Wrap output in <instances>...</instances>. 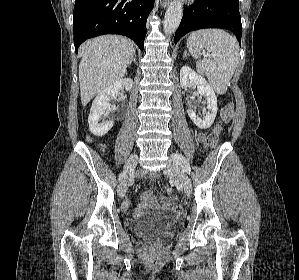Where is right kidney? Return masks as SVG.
I'll return each mask as SVG.
<instances>
[{
    "label": "right kidney",
    "mask_w": 299,
    "mask_h": 280,
    "mask_svg": "<svg viewBox=\"0 0 299 280\" xmlns=\"http://www.w3.org/2000/svg\"><path fill=\"white\" fill-rule=\"evenodd\" d=\"M132 84L133 82L130 78L120 79L97 95L92 103L88 117L91 133L98 137L108 133L114 125L113 119L106 122H101V120L106 110L110 107L109 101L115 98L121 89L125 88L126 91H129L132 88Z\"/></svg>",
    "instance_id": "obj_1"
}]
</instances>
